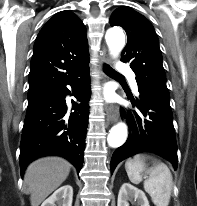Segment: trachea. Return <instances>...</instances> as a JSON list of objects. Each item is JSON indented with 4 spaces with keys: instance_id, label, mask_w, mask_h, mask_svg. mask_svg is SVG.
<instances>
[{
    "instance_id": "1",
    "label": "trachea",
    "mask_w": 197,
    "mask_h": 206,
    "mask_svg": "<svg viewBox=\"0 0 197 206\" xmlns=\"http://www.w3.org/2000/svg\"><path fill=\"white\" fill-rule=\"evenodd\" d=\"M104 72L109 76H122L117 71H115L113 68H111L109 65H104Z\"/></svg>"
}]
</instances>
